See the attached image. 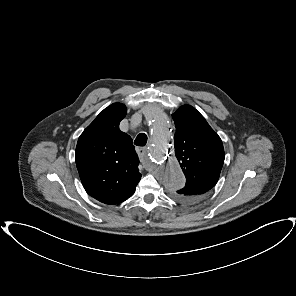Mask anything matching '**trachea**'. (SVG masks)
<instances>
[{
	"label": "trachea",
	"mask_w": 296,
	"mask_h": 296,
	"mask_svg": "<svg viewBox=\"0 0 296 296\" xmlns=\"http://www.w3.org/2000/svg\"><path fill=\"white\" fill-rule=\"evenodd\" d=\"M146 143H147V135L145 133H140L134 141V144L136 146H145Z\"/></svg>",
	"instance_id": "obj_1"
}]
</instances>
